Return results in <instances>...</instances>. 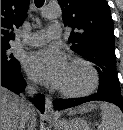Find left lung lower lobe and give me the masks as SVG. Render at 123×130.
<instances>
[{
  "instance_id": "1",
  "label": "left lung lower lobe",
  "mask_w": 123,
  "mask_h": 130,
  "mask_svg": "<svg viewBox=\"0 0 123 130\" xmlns=\"http://www.w3.org/2000/svg\"><path fill=\"white\" fill-rule=\"evenodd\" d=\"M94 100L106 101V102H109V103H113L116 106H118L123 112V103H120L117 99H115L111 96H108V95H105V94H100L99 92H97L93 96L83 98V99H80V100H54L53 104H54V107H55L56 110H63V109H66V108L74 107V106L80 105L82 103L94 101Z\"/></svg>"
}]
</instances>
